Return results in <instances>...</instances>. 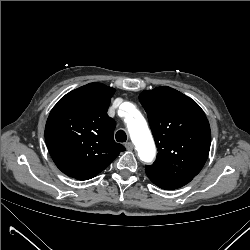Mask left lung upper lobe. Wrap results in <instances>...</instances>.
<instances>
[{"mask_svg": "<svg viewBox=\"0 0 250 250\" xmlns=\"http://www.w3.org/2000/svg\"><path fill=\"white\" fill-rule=\"evenodd\" d=\"M139 100L158 148L156 161L145 166L146 172L195 177L207 160L211 144L210 125L201 107L167 86L143 91Z\"/></svg>", "mask_w": 250, "mask_h": 250, "instance_id": "left-lung-upper-lobe-1", "label": "left lung upper lobe"}]
</instances>
